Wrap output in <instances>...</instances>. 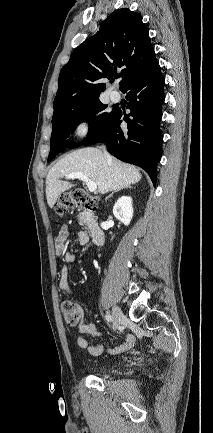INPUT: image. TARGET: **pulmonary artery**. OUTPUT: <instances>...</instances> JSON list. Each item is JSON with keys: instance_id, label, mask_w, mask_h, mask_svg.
<instances>
[{"instance_id": "pulmonary-artery-1", "label": "pulmonary artery", "mask_w": 213, "mask_h": 433, "mask_svg": "<svg viewBox=\"0 0 213 433\" xmlns=\"http://www.w3.org/2000/svg\"><path fill=\"white\" fill-rule=\"evenodd\" d=\"M120 98H121V96H120V93L118 91H112L110 93V99L113 102H118L120 100Z\"/></svg>"}]
</instances>
